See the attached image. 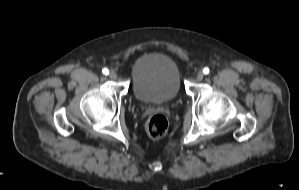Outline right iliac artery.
Masks as SVG:
<instances>
[{
  "label": "right iliac artery",
  "instance_id": "82829eb1",
  "mask_svg": "<svg viewBox=\"0 0 299 190\" xmlns=\"http://www.w3.org/2000/svg\"><path fill=\"white\" fill-rule=\"evenodd\" d=\"M102 73H103L104 75H108V74H109V70H108L107 68H104V69L102 70Z\"/></svg>",
  "mask_w": 299,
  "mask_h": 190
}]
</instances>
